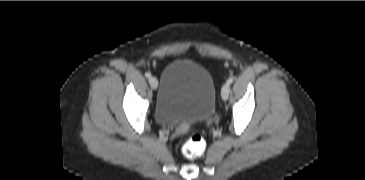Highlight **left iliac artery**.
<instances>
[{
	"label": "left iliac artery",
	"instance_id": "obj_1",
	"mask_svg": "<svg viewBox=\"0 0 365 180\" xmlns=\"http://www.w3.org/2000/svg\"><path fill=\"white\" fill-rule=\"evenodd\" d=\"M233 81H234V78H233V77H230V78L228 79V81H227V82H228L229 84H232V83H233Z\"/></svg>",
	"mask_w": 365,
	"mask_h": 180
}]
</instances>
